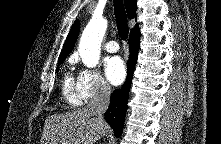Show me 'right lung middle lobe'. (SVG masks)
I'll use <instances>...</instances> for the list:
<instances>
[{"mask_svg":"<svg viewBox=\"0 0 221 144\" xmlns=\"http://www.w3.org/2000/svg\"><path fill=\"white\" fill-rule=\"evenodd\" d=\"M62 62H58V67H57V71L59 70V65H61Z\"/></svg>","mask_w":221,"mask_h":144,"instance_id":"1","label":"right lung middle lobe"}]
</instances>
